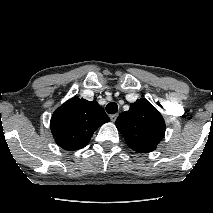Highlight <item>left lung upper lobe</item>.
I'll return each instance as SVG.
<instances>
[{
    "instance_id": "1",
    "label": "left lung upper lobe",
    "mask_w": 213,
    "mask_h": 213,
    "mask_svg": "<svg viewBox=\"0 0 213 213\" xmlns=\"http://www.w3.org/2000/svg\"><path fill=\"white\" fill-rule=\"evenodd\" d=\"M116 126L128 146L140 153L155 150L166 129L162 115L146 99L132 103L128 111L119 115Z\"/></svg>"
}]
</instances>
